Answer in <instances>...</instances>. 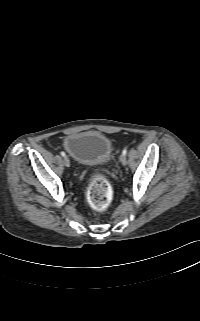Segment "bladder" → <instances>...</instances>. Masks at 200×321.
I'll use <instances>...</instances> for the list:
<instances>
[{
    "label": "bladder",
    "instance_id": "1",
    "mask_svg": "<svg viewBox=\"0 0 200 321\" xmlns=\"http://www.w3.org/2000/svg\"><path fill=\"white\" fill-rule=\"evenodd\" d=\"M66 152L84 165L102 164L112 153V142L102 132L86 130L67 135L63 142Z\"/></svg>",
    "mask_w": 200,
    "mask_h": 321
}]
</instances>
